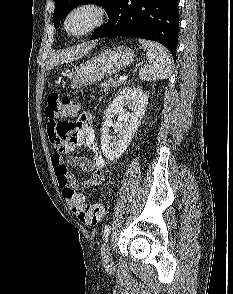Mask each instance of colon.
Instances as JSON below:
<instances>
[{"label":"colon","instance_id":"obj_1","mask_svg":"<svg viewBox=\"0 0 233 294\" xmlns=\"http://www.w3.org/2000/svg\"><path fill=\"white\" fill-rule=\"evenodd\" d=\"M79 112V102L70 96H60L51 93L47 99L46 115L50 117H75ZM60 123V122H59ZM63 196L68 207L77 215L78 219L85 225L96 226L105 215L103 204H87L84 196L70 187L63 189Z\"/></svg>","mask_w":233,"mask_h":294}]
</instances>
